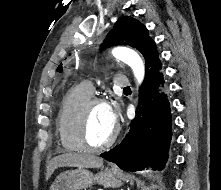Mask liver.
Wrapping results in <instances>:
<instances>
[{"instance_id": "obj_1", "label": "liver", "mask_w": 221, "mask_h": 190, "mask_svg": "<svg viewBox=\"0 0 221 190\" xmlns=\"http://www.w3.org/2000/svg\"><path fill=\"white\" fill-rule=\"evenodd\" d=\"M103 165V159L92 154L64 153L53 157L47 164L46 180L59 167L99 168Z\"/></svg>"}]
</instances>
